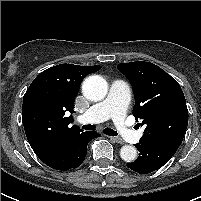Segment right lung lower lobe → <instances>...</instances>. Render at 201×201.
<instances>
[{"label": "right lung lower lobe", "instance_id": "1", "mask_svg": "<svg viewBox=\"0 0 201 201\" xmlns=\"http://www.w3.org/2000/svg\"><path fill=\"white\" fill-rule=\"evenodd\" d=\"M96 137H99L96 132H81L59 155L43 160V162L49 167L61 171L79 167L86 157L88 142Z\"/></svg>", "mask_w": 201, "mask_h": 201}]
</instances>
